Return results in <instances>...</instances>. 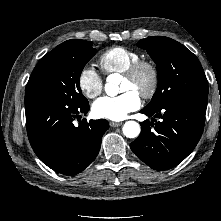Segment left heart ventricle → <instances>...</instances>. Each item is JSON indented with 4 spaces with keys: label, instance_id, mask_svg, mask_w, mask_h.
Here are the masks:
<instances>
[{
    "label": "left heart ventricle",
    "instance_id": "b2bd125f",
    "mask_svg": "<svg viewBox=\"0 0 221 221\" xmlns=\"http://www.w3.org/2000/svg\"><path fill=\"white\" fill-rule=\"evenodd\" d=\"M148 81V76L144 75L142 78L139 80L138 83H133L125 78L122 80V85H121V91L126 92L129 90L135 91L138 93L139 88L144 87L147 84Z\"/></svg>",
    "mask_w": 221,
    "mask_h": 221
}]
</instances>
